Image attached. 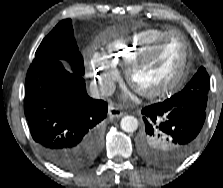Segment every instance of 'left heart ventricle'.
Here are the masks:
<instances>
[{"label": "left heart ventricle", "instance_id": "1", "mask_svg": "<svg viewBox=\"0 0 223 188\" xmlns=\"http://www.w3.org/2000/svg\"><path fill=\"white\" fill-rule=\"evenodd\" d=\"M183 54L182 39L179 36L168 38L155 57L135 73L136 84L150 89L169 80L177 72Z\"/></svg>", "mask_w": 223, "mask_h": 188}]
</instances>
